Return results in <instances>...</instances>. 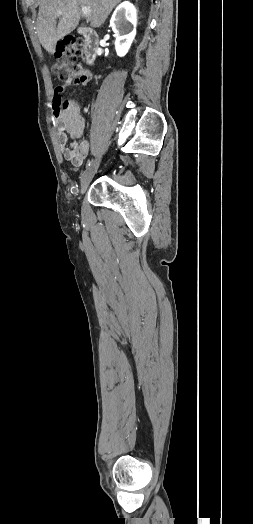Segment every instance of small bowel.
Masks as SVG:
<instances>
[{
    "mask_svg": "<svg viewBox=\"0 0 253 524\" xmlns=\"http://www.w3.org/2000/svg\"><path fill=\"white\" fill-rule=\"evenodd\" d=\"M63 89V86L56 88L53 104L61 98L60 94ZM85 127L81 106L74 101L70 102L69 107L56 118V134L61 153L74 166L82 165L89 154V142L79 141L84 134ZM68 139L71 140L70 144H68Z\"/></svg>",
    "mask_w": 253,
    "mask_h": 524,
    "instance_id": "small-bowel-1",
    "label": "small bowel"
}]
</instances>
